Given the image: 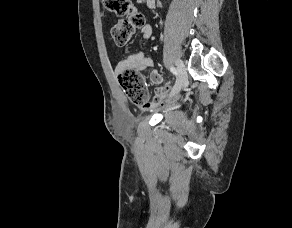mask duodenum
<instances>
[{
    "instance_id": "1",
    "label": "duodenum",
    "mask_w": 292,
    "mask_h": 228,
    "mask_svg": "<svg viewBox=\"0 0 292 228\" xmlns=\"http://www.w3.org/2000/svg\"><path fill=\"white\" fill-rule=\"evenodd\" d=\"M145 1L149 7H154L156 0H142Z\"/></svg>"
}]
</instances>
